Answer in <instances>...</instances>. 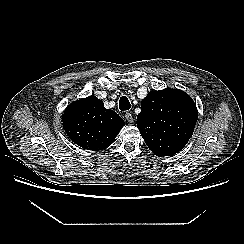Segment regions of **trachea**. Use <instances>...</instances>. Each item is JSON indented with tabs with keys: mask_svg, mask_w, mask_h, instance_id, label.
Masks as SVG:
<instances>
[{
	"mask_svg": "<svg viewBox=\"0 0 244 244\" xmlns=\"http://www.w3.org/2000/svg\"><path fill=\"white\" fill-rule=\"evenodd\" d=\"M131 108L130 101L127 97L122 96L119 100V109L121 111H127Z\"/></svg>",
	"mask_w": 244,
	"mask_h": 244,
	"instance_id": "1",
	"label": "trachea"
}]
</instances>
